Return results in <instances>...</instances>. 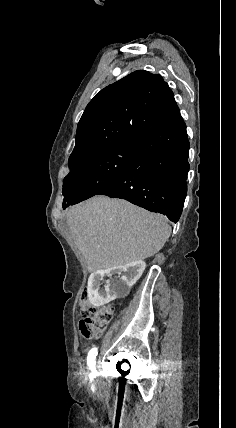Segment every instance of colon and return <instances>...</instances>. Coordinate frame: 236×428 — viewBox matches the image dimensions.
I'll return each mask as SVG.
<instances>
[{"label":"colon","mask_w":236,"mask_h":428,"mask_svg":"<svg viewBox=\"0 0 236 428\" xmlns=\"http://www.w3.org/2000/svg\"><path fill=\"white\" fill-rule=\"evenodd\" d=\"M80 310L83 319L79 323V332L80 336L85 340L100 337L114 314V307L112 305L103 307L93 306L88 300L87 289L81 292Z\"/></svg>","instance_id":"5ec220e1"}]
</instances>
